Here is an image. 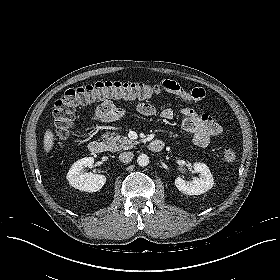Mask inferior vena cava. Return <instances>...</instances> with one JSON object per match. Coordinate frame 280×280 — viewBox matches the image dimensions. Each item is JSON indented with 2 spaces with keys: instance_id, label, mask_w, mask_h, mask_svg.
I'll return each mask as SVG.
<instances>
[{
  "instance_id": "obj_1",
  "label": "inferior vena cava",
  "mask_w": 280,
  "mask_h": 280,
  "mask_svg": "<svg viewBox=\"0 0 280 280\" xmlns=\"http://www.w3.org/2000/svg\"><path fill=\"white\" fill-rule=\"evenodd\" d=\"M133 153L130 151L122 152L119 155V160L123 163H128L133 159Z\"/></svg>"
}]
</instances>
